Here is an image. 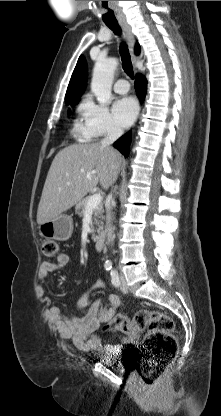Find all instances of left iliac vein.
<instances>
[{"label": "left iliac vein", "instance_id": "1", "mask_svg": "<svg viewBox=\"0 0 221 416\" xmlns=\"http://www.w3.org/2000/svg\"><path fill=\"white\" fill-rule=\"evenodd\" d=\"M120 289L123 293H127L128 292V286L125 280L124 276L120 277Z\"/></svg>", "mask_w": 221, "mask_h": 416}]
</instances>
